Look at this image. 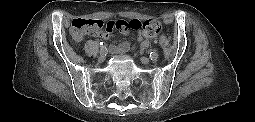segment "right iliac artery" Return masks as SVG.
<instances>
[{"mask_svg": "<svg viewBox=\"0 0 255 122\" xmlns=\"http://www.w3.org/2000/svg\"><path fill=\"white\" fill-rule=\"evenodd\" d=\"M100 45H101V50H103V51L107 50L106 45L103 44V42H100Z\"/></svg>", "mask_w": 255, "mask_h": 122, "instance_id": "right-iliac-artery-1", "label": "right iliac artery"}]
</instances>
